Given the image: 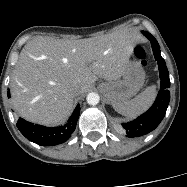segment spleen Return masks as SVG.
Segmentation results:
<instances>
[{
    "instance_id": "3e777b00",
    "label": "spleen",
    "mask_w": 187,
    "mask_h": 187,
    "mask_svg": "<svg viewBox=\"0 0 187 187\" xmlns=\"http://www.w3.org/2000/svg\"><path fill=\"white\" fill-rule=\"evenodd\" d=\"M156 97V87H147L142 93L130 101L114 103L113 108L125 117L133 118L147 110Z\"/></svg>"
}]
</instances>
